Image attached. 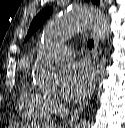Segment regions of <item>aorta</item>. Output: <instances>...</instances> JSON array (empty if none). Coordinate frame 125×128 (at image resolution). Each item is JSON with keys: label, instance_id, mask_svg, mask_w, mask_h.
<instances>
[{"label": "aorta", "instance_id": "762f6f07", "mask_svg": "<svg viewBox=\"0 0 125 128\" xmlns=\"http://www.w3.org/2000/svg\"><path fill=\"white\" fill-rule=\"evenodd\" d=\"M87 29L102 40L110 34L109 22L103 12L92 6L77 5L52 20L43 31L41 40L43 44L50 45ZM33 79L40 89L53 90L59 85L60 75L50 62L42 60L33 69ZM75 128H90V124L82 121Z\"/></svg>", "mask_w": 125, "mask_h": 128}]
</instances>
